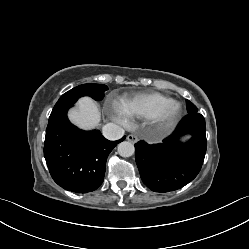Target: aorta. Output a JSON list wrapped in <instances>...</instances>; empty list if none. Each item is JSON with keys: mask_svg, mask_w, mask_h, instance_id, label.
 I'll return each instance as SVG.
<instances>
[{"mask_svg": "<svg viewBox=\"0 0 249 249\" xmlns=\"http://www.w3.org/2000/svg\"><path fill=\"white\" fill-rule=\"evenodd\" d=\"M118 153L122 157H130L134 154V145L128 141H123L118 144Z\"/></svg>", "mask_w": 249, "mask_h": 249, "instance_id": "762f6f07", "label": "aorta"}]
</instances>
